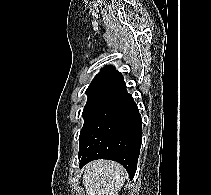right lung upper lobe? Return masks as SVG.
<instances>
[{"label":"right lung upper lobe","instance_id":"right-lung-upper-lobe-1","mask_svg":"<svg viewBox=\"0 0 211 195\" xmlns=\"http://www.w3.org/2000/svg\"><path fill=\"white\" fill-rule=\"evenodd\" d=\"M125 87L126 85L122 74L113 66H106L101 69V72L93 79L86 93L108 92L114 94Z\"/></svg>","mask_w":211,"mask_h":195}]
</instances>
